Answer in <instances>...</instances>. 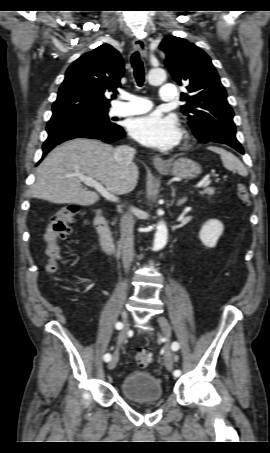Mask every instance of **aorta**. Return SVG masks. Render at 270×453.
<instances>
[{
    "mask_svg": "<svg viewBox=\"0 0 270 453\" xmlns=\"http://www.w3.org/2000/svg\"><path fill=\"white\" fill-rule=\"evenodd\" d=\"M166 78V72L161 68H155L149 71L148 81L152 85L161 84ZM168 239V229L166 224L161 221L157 224L156 233L154 238L153 250L158 251L162 249Z\"/></svg>",
    "mask_w": 270,
    "mask_h": 453,
    "instance_id": "1",
    "label": "aorta"
}]
</instances>
